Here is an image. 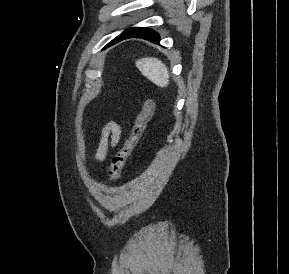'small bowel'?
<instances>
[{
  "label": "small bowel",
  "mask_w": 289,
  "mask_h": 274,
  "mask_svg": "<svg viewBox=\"0 0 289 274\" xmlns=\"http://www.w3.org/2000/svg\"><path fill=\"white\" fill-rule=\"evenodd\" d=\"M123 133V126L119 122L109 121L105 124L101 131L98 145L94 152V161L103 162L110 148H114L120 141Z\"/></svg>",
  "instance_id": "small-bowel-1"
}]
</instances>
